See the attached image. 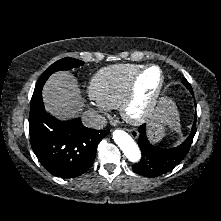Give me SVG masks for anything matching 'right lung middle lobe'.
<instances>
[{
    "mask_svg": "<svg viewBox=\"0 0 221 221\" xmlns=\"http://www.w3.org/2000/svg\"><path fill=\"white\" fill-rule=\"evenodd\" d=\"M83 64H84L83 61L73 59V58H63L61 60H58L57 62L53 63L44 71V73L41 75V77L39 78L35 86L34 92H36L39 89H42L44 83L46 82V80L52 73L59 71V70H69L71 68L78 67Z\"/></svg>",
    "mask_w": 221,
    "mask_h": 221,
    "instance_id": "obj_1",
    "label": "right lung middle lobe"
}]
</instances>
